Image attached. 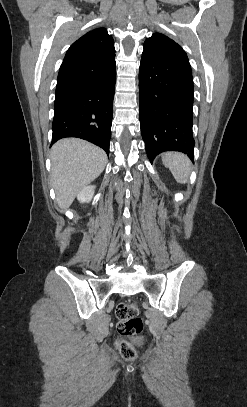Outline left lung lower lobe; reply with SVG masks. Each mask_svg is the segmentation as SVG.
Here are the masks:
<instances>
[{"instance_id": "left-lung-lower-lobe-1", "label": "left lung lower lobe", "mask_w": 247, "mask_h": 407, "mask_svg": "<svg viewBox=\"0 0 247 407\" xmlns=\"http://www.w3.org/2000/svg\"><path fill=\"white\" fill-rule=\"evenodd\" d=\"M139 95L140 127L149 160L165 151H180L193 161L191 69L142 53Z\"/></svg>"}]
</instances>
